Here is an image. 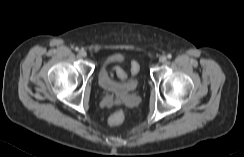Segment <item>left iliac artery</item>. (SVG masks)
I'll list each match as a JSON object with an SVG mask.
<instances>
[{"label": "left iliac artery", "mask_w": 244, "mask_h": 157, "mask_svg": "<svg viewBox=\"0 0 244 157\" xmlns=\"http://www.w3.org/2000/svg\"><path fill=\"white\" fill-rule=\"evenodd\" d=\"M167 57H168L169 59H171V58H172V55H171V54H168Z\"/></svg>", "instance_id": "obj_1"}]
</instances>
